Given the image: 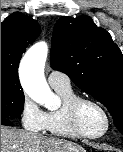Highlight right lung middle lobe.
<instances>
[{"instance_id":"right-lung-middle-lobe-1","label":"right lung middle lobe","mask_w":123,"mask_h":152,"mask_svg":"<svg viewBox=\"0 0 123 152\" xmlns=\"http://www.w3.org/2000/svg\"><path fill=\"white\" fill-rule=\"evenodd\" d=\"M24 107V94L17 75L1 73V119L17 118Z\"/></svg>"}]
</instances>
